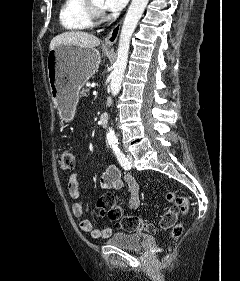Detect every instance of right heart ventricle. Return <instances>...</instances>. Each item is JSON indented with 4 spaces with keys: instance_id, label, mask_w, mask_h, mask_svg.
Wrapping results in <instances>:
<instances>
[{
    "instance_id": "right-heart-ventricle-1",
    "label": "right heart ventricle",
    "mask_w": 240,
    "mask_h": 281,
    "mask_svg": "<svg viewBox=\"0 0 240 281\" xmlns=\"http://www.w3.org/2000/svg\"><path fill=\"white\" fill-rule=\"evenodd\" d=\"M59 21L67 31L86 30L93 25L85 12L84 0H64L59 11Z\"/></svg>"
}]
</instances>
